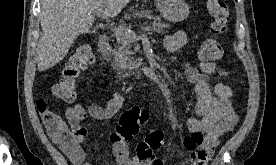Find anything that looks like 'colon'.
Masks as SVG:
<instances>
[{
	"label": "colon",
	"instance_id": "colon-1",
	"mask_svg": "<svg viewBox=\"0 0 276 165\" xmlns=\"http://www.w3.org/2000/svg\"><path fill=\"white\" fill-rule=\"evenodd\" d=\"M207 11L212 19V36L206 39L199 50V56L203 61L213 62L220 59L223 49L219 38L228 29L229 9L223 0H207ZM93 62V53L90 47H80L69 59L67 66L62 71L59 80L53 86V94L65 102L74 101L79 95V81L81 73ZM37 108L41 116L50 124V136L57 142L70 145L75 140L74 131H70L63 124L61 118L52 112L43 100H39ZM149 118L147 110L133 107L125 111L111 135L113 142H127L132 140L139 132L140 127ZM204 142V136L200 133H192L185 137L184 146L189 151L197 150ZM163 143V133L158 129L147 130L143 139L138 144L137 152L141 154L153 153Z\"/></svg>",
	"mask_w": 276,
	"mask_h": 165
}]
</instances>
